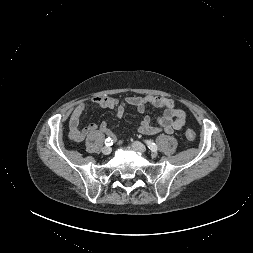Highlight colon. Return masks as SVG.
I'll use <instances>...</instances> for the list:
<instances>
[{"mask_svg":"<svg viewBox=\"0 0 253 253\" xmlns=\"http://www.w3.org/2000/svg\"><path fill=\"white\" fill-rule=\"evenodd\" d=\"M185 136L186 138L189 140V141H194L196 139V134L193 130L191 129H188L186 132H185Z\"/></svg>","mask_w":253,"mask_h":253,"instance_id":"colon-1","label":"colon"}]
</instances>
